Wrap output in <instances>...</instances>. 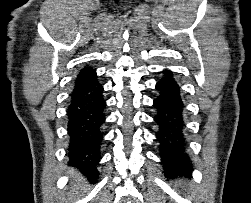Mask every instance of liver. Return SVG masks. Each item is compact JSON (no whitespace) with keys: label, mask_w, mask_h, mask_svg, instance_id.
Wrapping results in <instances>:
<instances>
[{"label":"liver","mask_w":251,"mask_h":203,"mask_svg":"<svg viewBox=\"0 0 251 203\" xmlns=\"http://www.w3.org/2000/svg\"><path fill=\"white\" fill-rule=\"evenodd\" d=\"M68 174H70L72 177L76 176V172L74 169L69 170Z\"/></svg>","instance_id":"6515ba94"}]
</instances>
